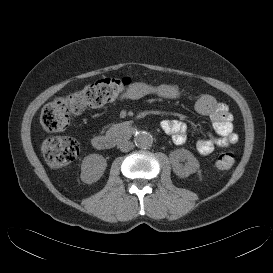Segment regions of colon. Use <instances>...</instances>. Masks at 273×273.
Here are the masks:
<instances>
[{
    "label": "colon",
    "instance_id": "5ec220e1",
    "mask_svg": "<svg viewBox=\"0 0 273 273\" xmlns=\"http://www.w3.org/2000/svg\"><path fill=\"white\" fill-rule=\"evenodd\" d=\"M133 83L131 78H104L59 97L42 109L40 124L47 132L62 131L68 126L71 115L116 101L127 94ZM42 152L49 166L62 168L77 158L79 145L70 137H49L42 143ZM234 161V154L225 151L217 156L215 165L220 170H227Z\"/></svg>",
    "mask_w": 273,
    "mask_h": 273
}]
</instances>
